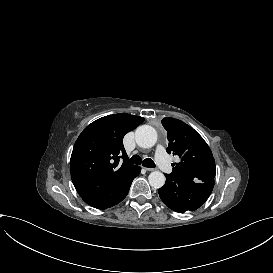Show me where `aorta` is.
<instances>
[{"label":"aorta","mask_w":273,"mask_h":273,"mask_svg":"<svg viewBox=\"0 0 273 273\" xmlns=\"http://www.w3.org/2000/svg\"><path fill=\"white\" fill-rule=\"evenodd\" d=\"M135 140L142 148H151L157 142V132L149 125L139 126L135 131ZM149 184L154 188H161L165 184V176L160 171H153L148 176Z\"/></svg>","instance_id":"obj_1"}]
</instances>
